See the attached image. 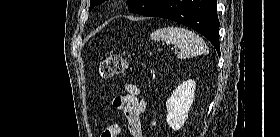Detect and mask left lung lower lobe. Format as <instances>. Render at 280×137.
Returning a JSON list of instances; mask_svg holds the SVG:
<instances>
[{
	"instance_id": "left-lung-lower-lobe-1",
	"label": "left lung lower lobe",
	"mask_w": 280,
	"mask_h": 137,
	"mask_svg": "<svg viewBox=\"0 0 280 137\" xmlns=\"http://www.w3.org/2000/svg\"><path fill=\"white\" fill-rule=\"evenodd\" d=\"M216 6L217 0H161L143 15L166 18L198 31L220 54Z\"/></svg>"
}]
</instances>
